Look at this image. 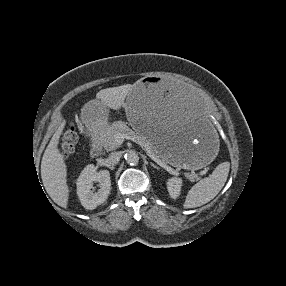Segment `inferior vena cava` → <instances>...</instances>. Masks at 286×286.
I'll use <instances>...</instances> for the list:
<instances>
[{
	"label": "inferior vena cava",
	"mask_w": 286,
	"mask_h": 286,
	"mask_svg": "<svg viewBox=\"0 0 286 286\" xmlns=\"http://www.w3.org/2000/svg\"><path fill=\"white\" fill-rule=\"evenodd\" d=\"M122 157L121 152H112L109 154L107 162L110 165H116Z\"/></svg>",
	"instance_id": "obj_1"
}]
</instances>
